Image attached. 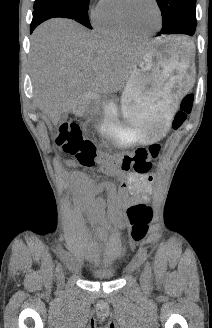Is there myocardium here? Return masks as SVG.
Segmentation results:
<instances>
[{
    "instance_id": "1",
    "label": "myocardium",
    "mask_w": 212,
    "mask_h": 328,
    "mask_svg": "<svg viewBox=\"0 0 212 328\" xmlns=\"http://www.w3.org/2000/svg\"><path fill=\"white\" fill-rule=\"evenodd\" d=\"M120 1H121L120 13H121L122 20H123L124 24L127 26V28L130 29L132 32L139 34V35H146V34H150L152 32L157 31L162 26L163 14H162V9L160 7L158 0H151V2L154 4V6L157 10L159 22H158V25L156 28L149 30V31L139 29L132 22L130 15H129V11H128V5L131 2V0H120Z\"/></svg>"
}]
</instances>
